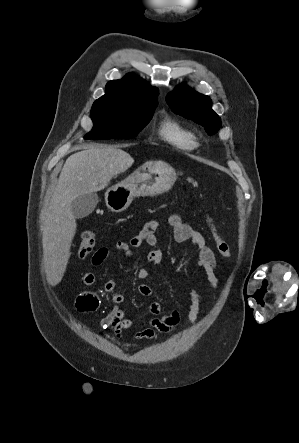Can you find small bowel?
<instances>
[{"label":"small bowel","instance_id":"obj_1","mask_svg":"<svg viewBox=\"0 0 299 443\" xmlns=\"http://www.w3.org/2000/svg\"><path fill=\"white\" fill-rule=\"evenodd\" d=\"M168 223L173 228V236L177 242L191 241L199 251L198 266L204 271L206 281L212 290L216 289L217 278L215 275L216 259L213 251L207 245L203 235L183 222L179 215H171ZM159 222L152 220L147 222L142 230L135 235L129 242L116 243V249L125 256L132 255V248H140L147 244L154 246L157 242V230ZM108 256L106 248H100L92 257V263L96 266L101 265ZM147 259L153 264H161L164 260L162 251L151 250ZM135 276L139 280H145L149 277V271L145 268L136 270ZM83 283L87 286H96L98 280L96 276L87 272L84 274ZM104 291L110 295L114 307L101 320V325L105 328L112 329L116 337H120L122 332L133 327V322L126 316L125 311L119 306L125 300L122 293L116 291V280L112 275L104 285ZM138 291L143 296H150L152 290L147 284H141ZM201 295L197 290L190 291V304L188 310V320L190 324H195L198 320ZM77 308L82 312H94L98 309L99 300L93 291H85L81 293L76 301ZM149 312L153 317L148 318L141 329L134 335L135 341L153 339L156 333L170 334L180 322V313L177 310L171 311L162 317H156L161 313V306L158 302H152L149 306Z\"/></svg>","mask_w":299,"mask_h":443}]
</instances>
